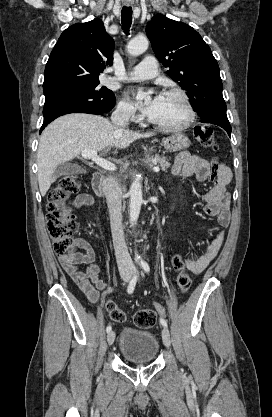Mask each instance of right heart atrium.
I'll return each mask as SVG.
<instances>
[{"label":"right heart atrium","mask_w":272,"mask_h":417,"mask_svg":"<svg viewBox=\"0 0 272 417\" xmlns=\"http://www.w3.org/2000/svg\"><path fill=\"white\" fill-rule=\"evenodd\" d=\"M116 113L124 120L135 121L138 119L134 105L127 98H122L119 101Z\"/></svg>","instance_id":"1"}]
</instances>
